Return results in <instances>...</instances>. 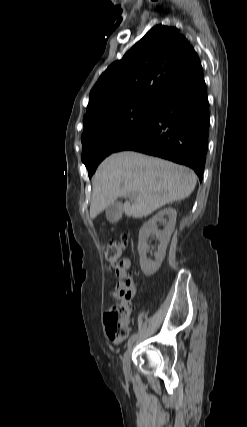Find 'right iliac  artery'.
Returning <instances> with one entry per match:
<instances>
[{
	"label": "right iliac artery",
	"instance_id": "right-iliac-artery-1",
	"mask_svg": "<svg viewBox=\"0 0 247 427\" xmlns=\"http://www.w3.org/2000/svg\"><path fill=\"white\" fill-rule=\"evenodd\" d=\"M136 337H137V334H133L130 338H129V340H128V342H127V345L129 346V345H131L133 342H134V340L136 339Z\"/></svg>",
	"mask_w": 247,
	"mask_h": 427
}]
</instances>
